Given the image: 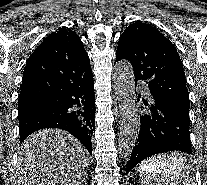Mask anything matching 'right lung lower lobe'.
Segmentation results:
<instances>
[{
    "instance_id": "obj_1",
    "label": "right lung lower lobe",
    "mask_w": 207,
    "mask_h": 185,
    "mask_svg": "<svg viewBox=\"0 0 207 185\" xmlns=\"http://www.w3.org/2000/svg\"><path fill=\"white\" fill-rule=\"evenodd\" d=\"M75 106L79 109H73ZM94 117V84L91 76L84 81L72 83L54 99L19 111L20 142L37 130L59 128L74 135L92 153Z\"/></svg>"
}]
</instances>
